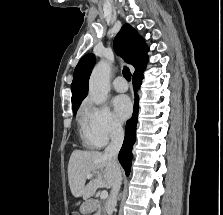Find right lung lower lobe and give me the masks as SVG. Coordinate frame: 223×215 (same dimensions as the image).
<instances>
[{
    "mask_svg": "<svg viewBox=\"0 0 223 215\" xmlns=\"http://www.w3.org/2000/svg\"><path fill=\"white\" fill-rule=\"evenodd\" d=\"M143 79L142 72L134 73L133 75V84L135 91L140 87L141 80ZM135 106L133 116L130 120L126 123L125 129V138L122 145V148L119 152V162L121 163L122 167L124 168L126 175H129L130 167H131V160H132V146L135 142L136 138V124H137V115H138V97L135 95Z\"/></svg>",
    "mask_w": 223,
    "mask_h": 215,
    "instance_id": "1",
    "label": "right lung lower lobe"
}]
</instances>
